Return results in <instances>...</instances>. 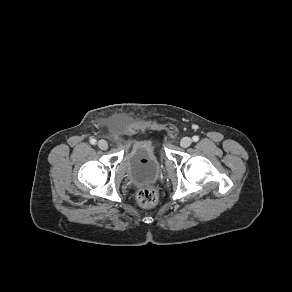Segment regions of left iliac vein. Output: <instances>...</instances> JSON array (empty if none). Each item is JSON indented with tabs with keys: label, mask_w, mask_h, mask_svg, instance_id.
Wrapping results in <instances>:
<instances>
[{
	"label": "left iliac vein",
	"mask_w": 292,
	"mask_h": 292,
	"mask_svg": "<svg viewBox=\"0 0 292 292\" xmlns=\"http://www.w3.org/2000/svg\"><path fill=\"white\" fill-rule=\"evenodd\" d=\"M192 144V139L190 137H184L180 141V146L183 148H187Z\"/></svg>",
	"instance_id": "obj_1"
}]
</instances>
